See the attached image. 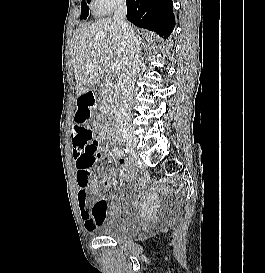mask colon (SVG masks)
I'll return each instance as SVG.
<instances>
[{
	"mask_svg": "<svg viewBox=\"0 0 265 273\" xmlns=\"http://www.w3.org/2000/svg\"><path fill=\"white\" fill-rule=\"evenodd\" d=\"M84 124V123H80ZM87 144V157L85 159L84 165H89V167H94L96 163V152H97V141L93 136V133L88 129H81L80 138L77 144Z\"/></svg>",
	"mask_w": 265,
	"mask_h": 273,
	"instance_id": "5ec220e1",
	"label": "colon"
}]
</instances>
